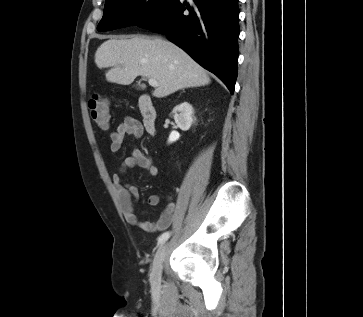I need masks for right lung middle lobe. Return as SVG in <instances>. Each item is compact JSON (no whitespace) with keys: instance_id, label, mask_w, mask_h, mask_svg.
Returning <instances> with one entry per match:
<instances>
[{"instance_id":"dd1d6c3e","label":"right lung middle lobe","mask_w":363,"mask_h":317,"mask_svg":"<svg viewBox=\"0 0 363 317\" xmlns=\"http://www.w3.org/2000/svg\"><path fill=\"white\" fill-rule=\"evenodd\" d=\"M176 0H106L98 31L140 25L170 9Z\"/></svg>"}]
</instances>
